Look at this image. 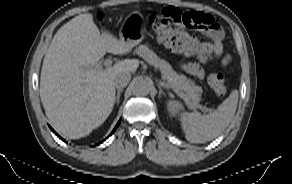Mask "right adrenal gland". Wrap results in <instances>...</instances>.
I'll return each instance as SVG.
<instances>
[{"instance_id": "right-adrenal-gland-1", "label": "right adrenal gland", "mask_w": 292, "mask_h": 184, "mask_svg": "<svg viewBox=\"0 0 292 184\" xmlns=\"http://www.w3.org/2000/svg\"><path fill=\"white\" fill-rule=\"evenodd\" d=\"M123 92V89H118L117 91V95L115 97V101L117 104H119V101H120V96H121V93Z\"/></svg>"}]
</instances>
